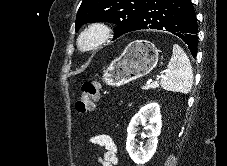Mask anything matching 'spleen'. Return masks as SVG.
Here are the masks:
<instances>
[{
	"mask_svg": "<svg viewBox=\"0 0 227 166\" xmlns=\"http://www.w3.org/2000/svg\"><path fill=\"white\" fill-rule=\"evenodd\" d=\"M160 85L167 91L188 94L193 85V71L190 60L183 49L173 45V54Z\"/></svg>",
	"mask_w": 227,
	"mask_h": 166,
	"instance_id": "spleen-1",
	"label": "spleen"
}]
</instances>
